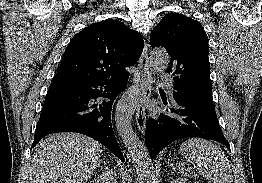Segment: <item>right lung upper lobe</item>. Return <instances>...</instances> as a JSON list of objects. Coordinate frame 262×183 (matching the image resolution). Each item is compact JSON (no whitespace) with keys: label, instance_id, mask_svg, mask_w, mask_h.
<instances>
[{"label":"right lung upper lobe","instance_id":"obj_1","mask_svg":"<svg viewBox=\"0 0 262 183\" xmlns=\"http://www.w3.org/2000/svg\"><path fill=\"white\" fill-rule=\"evenodd\" d=\"M142 36L118 20L94 23L68 44L53 84H71L120 76L143 51Z\"/></svg>","mask_w":262,"mask_h":183}]
</instances>
